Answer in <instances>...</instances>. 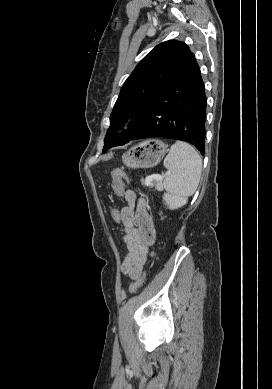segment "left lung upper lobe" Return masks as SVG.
Listing matches in <instances>:
<instances>
[{
	"label": "left lung upper lobe",
	"mask_w": 272,
	"mask_h": 389,
	"mask_svg": "<svg viewBox=\"0 0 272 389\" xmlns=\"http://www.w3.org/2000/svg\"><path fill=\"white\" fill-rule=\"evenodd\" d=\"M194 58V54L185 43L169 40L157 45L139 62L121 88L112 110L103 152L129 141L143 122L157 95ZM128 120L132 129L115 137L113 133L119 129V125Z\"/></svg>",
	"instance_id": "obj_1"
}]
</instances>
